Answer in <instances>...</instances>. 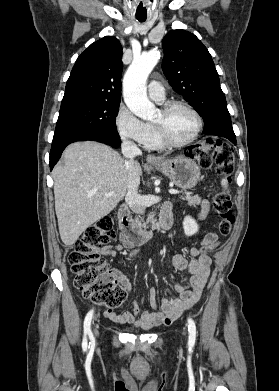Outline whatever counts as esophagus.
<instances>
[{"instance_id":"obj_1","label":"esophagus","mask_w":279,"mask_h":391,"mask_svg":"<svg viewBox=\"0 0 279 391\" xmlns=\"http://www.w3.org/2000/svg\"><path fill=\"white\" fill-rule=\"evenodd\" d=\"M146 161L147 162H158L159 159L157 157H155L154 155H147Z\"/></svg>"}]
</instances>
